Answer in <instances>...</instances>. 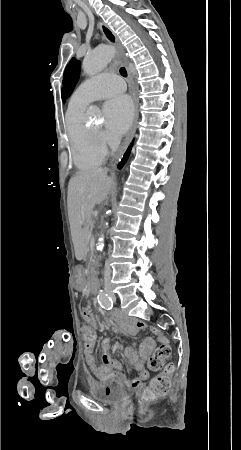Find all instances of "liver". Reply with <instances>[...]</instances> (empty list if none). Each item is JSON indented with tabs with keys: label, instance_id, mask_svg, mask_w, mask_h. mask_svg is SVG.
<instances>
[{
	"label": "liver",
	"instance_id": "1",
	"mask_svg": "<svg viewBox=\"0 0 241 450\" xmlns=\"http://www.w3.org/2000/svg\"><path fill=\"white\" fill-rule=\"evenodd\" d=\"M114 184L107 176V170L77 172L69 182V216L74 232L75 248H83L85 242L82 226L90 224V216L95 204H101Z\"/></svg>",
	"mask_w": 241,
	"mask_h": 450
}]
</instances>
